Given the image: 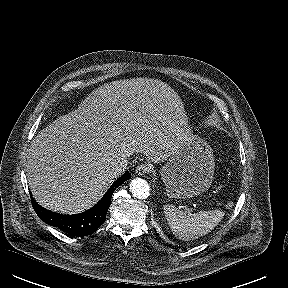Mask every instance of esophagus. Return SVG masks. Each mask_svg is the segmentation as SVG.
Instances as JSON below:
<instances>
[{
    "instance_id": "1",
    "label": "esophagus",
    "mask_w": 288,
    "mask_h": 288,
    "mask_svg": "<svg viewBox=\"0 0 288 288\" xmlns=\"http://www.w3.org/2000/svg\"><path fill=\"white\" fill-rule=\"evenodd\" d=\"M152 171V168L149 164L147 163H142L140 165L137 166L136 168V174L138 175H145V174H148Z\"/></svg>"
}]
</instances>
